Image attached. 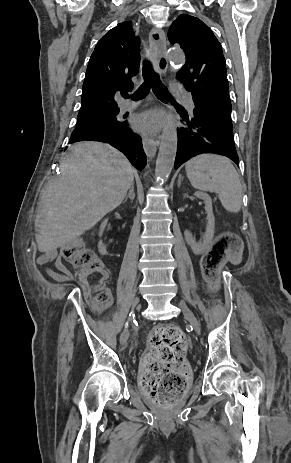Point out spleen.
<instances>
[{
  "instance_id": "3e777b00",
  "label": "spleen",
  "mask_w": 291,
  "mask_h": 463,
  "mask_svg": "<svg viewBox=\"0 0 291 463\" xmlns=\"http://www.w3.org/2000/svg\"><path fill=\"white\" fill-rule=\"evenodd\" d=\"M185 169L194 188L216 192L225 210L232 213L240 211L243 186L229 159L213 154H203L188 161Z\"/></svg>"
}]
</instances>
